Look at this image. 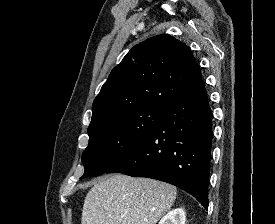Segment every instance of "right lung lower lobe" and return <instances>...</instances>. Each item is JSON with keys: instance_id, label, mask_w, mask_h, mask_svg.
I'll use <instances>...</instances> for the list:
<instances>
[{"instance_id": "right-lung-lower-lobe-1", "label": "right lung lower lobe", "mask_w": 275, "mask_h": 224, "mask_svg": "<svg viewBox=\"0 0 275 224\" xmlns=\"http://www.w3.org/2000/svg\"><path fill=\"white\" fill-rule=\"evenodd\" d=\"M212 111L201 79L166 109L151 133L106 173L148 177L175 185L208 208Z\"/></svg>"}]
</instances>
